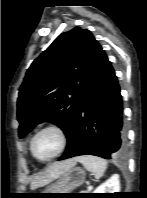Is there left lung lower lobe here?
Listing matches in <instances>:
<instances>
[{"instance_id":"left-lung-lower-lobe-1","label":"left lung lower lobe","mask_w":147,"mask_h":198,"mask_svg":"<svg viewBox=\"0 0 147 198\" xmlns=\"http://www.w3.org/2000/svg\"><path fill=\"white\" fill-rule=\"evenodd\" d=\"M67 139V148L60 160L79 155L111 159L125 153L126 133L120 86L99 44L82 102Z\"/></svg>"}]
</instances>
